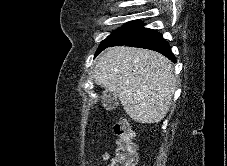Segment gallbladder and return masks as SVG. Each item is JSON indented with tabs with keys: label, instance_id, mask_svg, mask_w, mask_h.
Segmentation results:
<instances>
[{
	"label": "gallbladder",
	"instance_id": "obj_1",
	"mask_svg": "<svg viewBox=\"0 0 227 166\" xmlns=\"http://www.w3.org/2000/svg\"><path fill=\"white\" fill-rule=\"evenodd\" d=\"M102 105L107 110L115 109L118 105V100L112 92L108 89H105L102 92Z\"/></svg>",
	"mask_w": 227,
	"mask_h": 166
}]
</instances>
